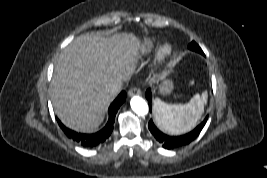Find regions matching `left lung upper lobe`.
Masks as SVG:
<instances>
[{"label": "left lung upper lobe", "mask_w": 267, "mask_h": 178, "mask_svg": "<svg viewBox=\"0 0 267 178\" xmlns=\"http://www.w3.org/2000/svg\"><path fill=\"white\" fill-rule=\"evenodd\" d=\"M188 47L190 50L204 54L203 51L201 50V48L194 41L192 43H190Z\"/></svg>", "instance_id": "1"}]
</instances>
